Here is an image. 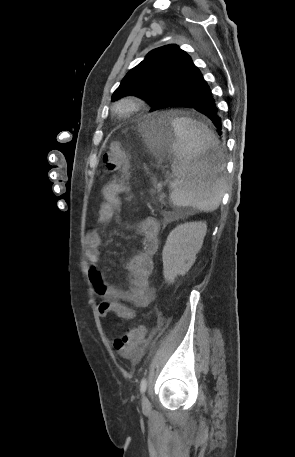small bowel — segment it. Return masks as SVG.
<instances>
[{
	"mask_svg": "<svg viewBox=\"0 0 295 457\" xmlns=\"http://www.w3.org/2000/svg\"><path fill=\"white\" fill-rule=\"evenodd\" d=\"M122 192L123 185L117 181L107 183L102 189L104 202L98 211L97 225L86 235L87 269L95 294L102 298L98 305L99 315L108 318L109 315L114 314L122 320H132L137 315L128 304L146 308L155 299V291L149 284V276L153 270V258L159 247V224L154 218L147 217L137 225V230L142 237V250L123 263L124 269L130 275L128 290L122 291L108 284L99 267L101 226L109 222L120 209ZM139 354L140 349H137L130 355H122L127 358H137Z\"/></svg>",
	"mask_w": 295,
	"mask_h": 457,
	"instance_id": "obj_1",
	"label": "small bowel"
}]
</instances>
